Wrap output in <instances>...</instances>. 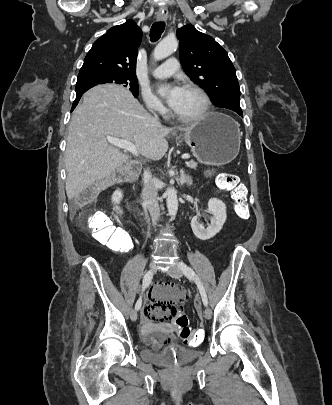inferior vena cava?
<instances>
[{
    "label": "inferior vena cava",
    "mask_w": 332,
    "mask_h": 405,
    "mask_svg": "<svg viewBox=\"0 0 332 405\" xmlns=\"http://www.w3.org/2000/svg\"><path fill=\"white\" fill-rule=\"evenodd\" d=\"M155 119L158 121L156 114ZM144 181V200L151 215V218L156 222L160 215V208L157 201L158 192V179L153 177L152 174L145 170L143 174Z\"/></svg>",
    "instance_id": "602c4592"
}]
</instances>
